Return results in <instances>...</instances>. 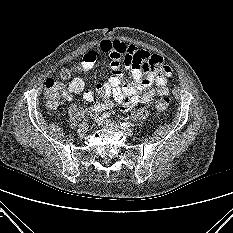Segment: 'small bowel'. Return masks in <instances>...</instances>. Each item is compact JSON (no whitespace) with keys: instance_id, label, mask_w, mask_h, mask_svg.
Listing matches in <instances>:
<instances>
[{"instance_id":"obj_1","label":"small bowel","mask_w":233,"mask_h":233,"mask_svg":"<svg viewBox=\"0 0 233 233\" xmlns=\"http://www.w3.org/2000/svg\"><path fill=\"white\" fill-rule=\"evenodd\" d=\"M99 53L105 54L110 59L111 77L103 83V86L108 96L113 98L121 111L127 112L139 103H149L156 91L159 94L168 93L167 78L173 75V71L164 64L161 56L119 40H103L96 48L85 53L81 63L83 73H89L95 66ZM121 63L131 70L132 85L122 84ZM154 84L156 89L152 87ZM84 88V81L78 77L69 84L70 93L83 92V99L88 102L92 101L95 95L94 89Z\"/></svg>"}]
</instances>
